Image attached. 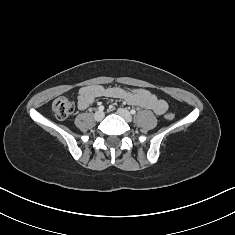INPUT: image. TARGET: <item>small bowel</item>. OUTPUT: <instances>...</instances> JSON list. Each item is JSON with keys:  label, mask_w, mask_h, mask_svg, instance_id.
<instances>
[{"label": "small bowel", "mask_w": 235, "mask_h": 235, "mask_svg": "<svg viewBox=\"0 0 235 235\" xmlns=\"http://www.w3.org/2000/svg\"><path fill=\"white\" fill-rule=\"evenodd\" d=\"M97 98L121 99L130 105L152 110L158 115L168 111L167 102L147 89L136 88L129 91L119 87H104L101 85H89L79 89L77 95L79 109H86Z\"/></svg>", "instance_id": "1"}]
</instances>
